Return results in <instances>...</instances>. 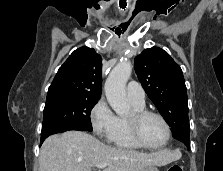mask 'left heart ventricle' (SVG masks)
Listing matches in <instances>:
<instances>
[{
  "label": "left heart ventricle",
  "mask_w": 223,
  "mask_h": 171,
  "mask_svg": "<svg viewBox=\"0 0 223 171\" xmlns=\"http://www.w3.org/2000/svg\"><path fill=\"white\" fill-rule=\"evenodd\" d=\"M142 140L149 146H159L166 138V128L162 121L155 116L145 117L139 126Z\"/></svg>",
  "instance_id": "1"
}]
</instances>
